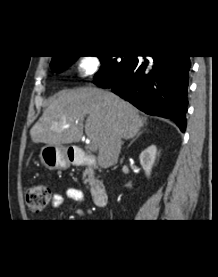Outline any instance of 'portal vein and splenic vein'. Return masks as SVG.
<instances>
[{
    "instance_id": "18ae733b",
    "label": "portal vein and splenic vein",
    "mask_w": 218,
    "mask_h": 277,
    "mask_svg": "<svg viewBox=\"0 0 218 277\" xmlns=\"http://www.w3.org/2000/svg\"><path fill=\"white\" fill-rule=\"evenodd\" d=\"M97 144L96 143H94V142H89V149L91 150V151H96L97 150Z\"/></svg>"
}]
</instances>
